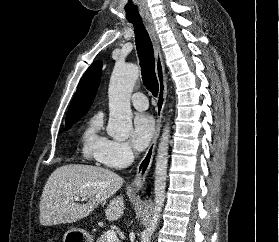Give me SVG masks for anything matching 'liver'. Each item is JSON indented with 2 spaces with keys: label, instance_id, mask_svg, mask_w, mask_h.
Wrapping results in <instances>:
<instances>
[{
  "label": "liver",
  "instance_id": "6515ba94",
  "mask_svg": "<svg viewBox=\"0 0 279 242\" xmlns=\"http://www.w3.org/2000/svg\"><path fill=\"white\" fill-rule=\"evenodd\" d=\"M123 185L115 172L91 165L70 164L57 168L48 178L40 199V224L52 226L73 223L88 216L99 204H105ZM78 196L86 203L74 202ZM125 209L122 195L110 200L106 219L118 220Z\"/></svg>",
  "mask_w": 279,
  "mask_h": 242
}]
</instances>
